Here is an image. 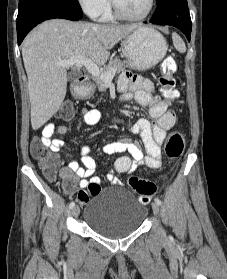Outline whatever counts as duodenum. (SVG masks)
<instances>
[{
	"mask_svg": "<svg viewBox=\"0 0 227 279\" xmlns=\"http://www.w3.org/2000/svg\"><path fill=\"white\" fill-rule=\"evenodd\" d=\"M85 88H86L85 78L79 77L72 89L73 96L77 99H85V95H84Z\"/></svg>",
	"mask_w": 227,
	"mask_h": 279,
	"instance_id": "duodenum-1",
	"label": "duodenum"
}]
</instances>
